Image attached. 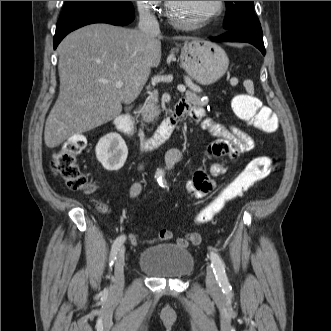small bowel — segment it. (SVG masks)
I'll use <instances>...</instances> for the list:
<instances>
[{
	"label": "small bowel",
	"instance_id": "c3829d8e",
	"mask_svg": "<svg viewBox=\"0 0 331 331\" xmlns=\"http://www.w3.org/2000/svg\"><path fill=\"white\" fill-rule=\"evenodd\" d=\"M177 107L192 118L202 129L209 131L216 139L211 142L206 149V154L209 157L219 158L228 157L232 163L237 162L241 156L250 151L254 142L253 139L242 130L236 127H225L213 120L206 118L204 110L196 105L191 104L186 100H182L177 104ZM182 152L178 148H172L165 155V164L168 170H172L174 166L181 160ZM143 166L140 167V170ZM228 168L222 163H213L209 171L199 169L195 171L193 176L187 180L185 186L188 193L195 198H205L216 187L214 179L225 175ZM142 185L139 181H135L129 190L131 198H136L140 195ZM171 239V233L163 230L153 240V242H167ZM142 240L135 234L130 235V243L132 246H137ZM189 242L180 238L178 245L186 247Z\"/></svg>",
	"mask_w": 331,
	"mask_h": 331
}]
</instances>
